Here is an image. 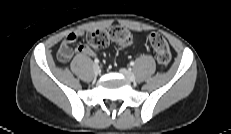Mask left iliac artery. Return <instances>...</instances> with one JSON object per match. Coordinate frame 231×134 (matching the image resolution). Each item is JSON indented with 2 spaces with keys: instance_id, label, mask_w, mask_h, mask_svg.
I'll return each instance as SVG.
<instances>
[{
  "instance_id": "left-iliac-artery-1",
  "label": "left iliac artery",
  "mask_w": 231,
  "mask_h": 134,
  "mask_svg": "<svg viewBox=\"0 0 231 134\" xmlns=\"http://www.w3.org/2000/svg\"><path fill=\"white\" fill-rule=\"evenodd\" d=\"M135 62L134 61H131L130 62V66H134Z\"/></svg>"
}]
</instances>
